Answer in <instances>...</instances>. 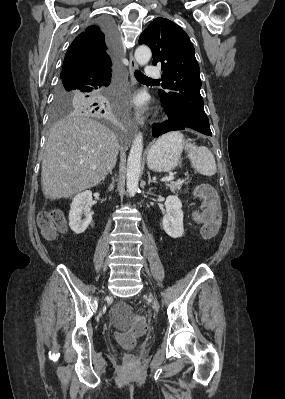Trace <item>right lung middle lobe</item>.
Here are the masks:
<instances>
[{
    "mask_svg": "<svg viewBox=\"0 0 285 399\" xmlns=\"http://www.w3.org/2000/svg\"><path fill=\"white\" fill-rule=\"evenodd\" d=\"M102 97H106V89L90 97L84 90L71 83H59L55 91L51 123H54L59 117L75 111L108 115L111 112L109 105L102 108L90 106V100H99Z\"/></svg>",
    "mask_w": 285,
    "mask_h": 399,
    "instance_id": "dd1d6c3e",
    "label": "right lung middle lobe"
}]
</instances>
